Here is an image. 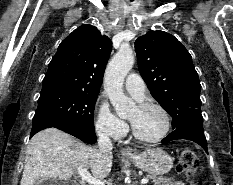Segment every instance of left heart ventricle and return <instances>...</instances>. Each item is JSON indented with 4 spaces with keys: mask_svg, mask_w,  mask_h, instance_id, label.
I'll return each mask as SVG.
<instances>
[{
    "mask_svg": "<svg viewBox=\"0 0 233 185\" xmlns=\"http://www.w3.org/2000/svg\"><path fill=\"white\" fill-rule=\"evenodd\" d=\"M128 119L141 136L148 138L159 135L165 126L164 116L156 108L136 106L129 113Z\"/></svg>",
    "mask_w": 233,
    "mask_h": 185,
    "instance_id": "obj_1",
    "label": "left heart ventricle"
}]
</instances>
